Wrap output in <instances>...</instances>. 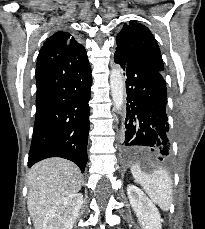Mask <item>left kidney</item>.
<instances>
[{
	"instance_id": "5707ae66",
	"label": "left kidney",
	"mask_w": 205,
	"mask_h": 229,
	"mask_svg": "<svg viewBox=\"0 0 205 229\" xmlns=\"http://www.w3.org/2000/svg\"><path fill=\"white\" fill-rule=\"evenodd\" d=\"M127 195L143 229H161V216L153 202L134 185H128Z\"/></svg>"
}]
</instances>
